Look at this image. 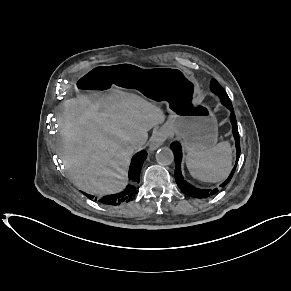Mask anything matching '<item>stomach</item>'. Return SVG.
Wrapping results in <instances>:
<instances>
[{
	"instance_id": "1",
	"label": "stomach",
	"mask_w": 291,
	"mask_h": 291,
	"mask_svg": "<svg viewBox=\"0 0 291 291\" xmlns=\"http://www.w3.org/2000/svg\"><path fill=\"white\" fill-rule=\"evenodd\" d=\"M78 88L97 93L135 90L153 102H164L170 116L163 130L182 138L188 152L210 149L217 142L216 118L201 103L197 81L182 68H145L131 63L97 65L78 82Z\"/></svg>"
}]
</instances>
